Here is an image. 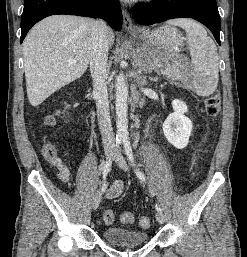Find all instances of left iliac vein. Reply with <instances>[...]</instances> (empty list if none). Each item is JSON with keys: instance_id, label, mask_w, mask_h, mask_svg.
<instances>
[{"instance_id": "4c4485c4", "label": "left iliac vein", "mask_w": 247, "mask_h": 257, "mask_svg": "<svg viewBox=\"0 0 247 257\" xmlns=\"http://www.w3.org/2000/svg\"><path fill=\"white\" fill-rule=\"evenodd\" d=\"M115 163L124 171H128V166L126 163L125 158L121 154V152H117L115 157H114ZM156 219L160 224H163L165 222V217L162 212H157L156 213Z\"/></svg>"}]
</instances>
